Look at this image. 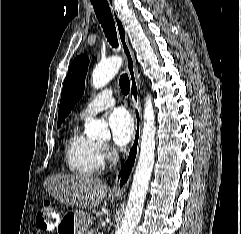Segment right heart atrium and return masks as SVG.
Here are the masks:
<instances>
[{"mask_svg": "<svg viewBox=\"0 0 241 234\" xmlns=\"http://www.w3.org/2000/svg\"><path fill=\"white\" fill-rule=\"evenodd\" d=\"M101 150H102L103 158L109 155V150L107 147H102Z\"/></svg>", "mask_w": 241, "mask_h": 234, "instance_id": "obj_1", "label": "right heart atrium"}]
</instances>
